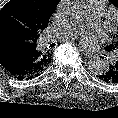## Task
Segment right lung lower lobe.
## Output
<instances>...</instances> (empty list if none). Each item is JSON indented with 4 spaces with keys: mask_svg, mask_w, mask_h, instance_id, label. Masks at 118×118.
<instances>
[{
    "mask_svg": "<svg viewBox=\"0 0 118 118\" xmlns=\"http://www.w3.org/2000/svg\"><path fill=\"white\" fill-rule=\"evenodd\" d=\"M36 54L34 48L21 43L17 38L0 41V67L18 80L31 79L40 74L34 69Z\"/></svg>",
    "mask_w": 118,
    "mask_h": 118,
    "instance_id": "98d812e1",
    "label": "right lung lower lobe"
}]
</instances>
